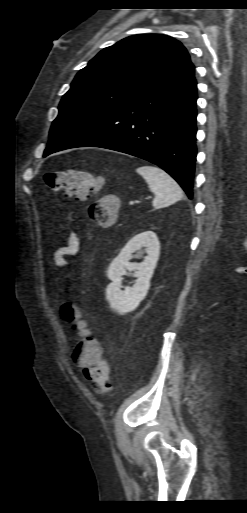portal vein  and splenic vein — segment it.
Masks as SVG:
<instances>
[{"label":"portal vein and splenic vein","instance_id":"18ae733b","mask_svg":"<svg viewBox=\"0 0 247 513\" xmlns=\"http://www.w3.org/2000/svg\"><path fill=\"white\" fill-rule=\"evenodd\" d=\"M129 204L133 205V204H135V201H130Z\"/></svg>","mask_w":247,"mask_h":513}]
</instances>
